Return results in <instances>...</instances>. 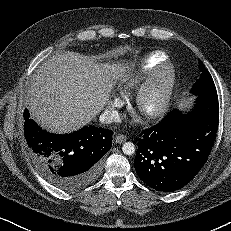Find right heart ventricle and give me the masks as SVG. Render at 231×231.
I'll use <instances>...</instances> for the list:
<instances>
[{"label":"right heart ventricle","mask_w":231,"mask_h":231,"mask_svg":"<svg viewBox=\"0 0 231 231\" xmlns=\"http://www.w3.org/2000/svg\"><path fill=\"white\" fill-rule=\"evenodd\" d=\"M167 59V55L161 51H155L149 53L145 56L140 62V72H147L161 62ZM140 76L138 74H132L126 78H124L121 82V87L125 90L133 89L139 82Z\"/></svg>","instance_id":"right-heart-ventricle-1"}]
</instances>
